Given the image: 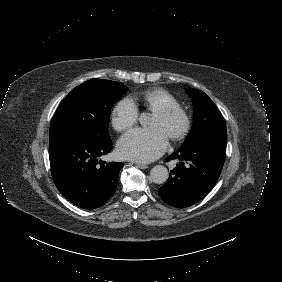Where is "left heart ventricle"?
<instances>
[{"label":"left heart ventricle","instance_id":"left-heart-ventricle-1","mask_svg":"<svg viewBox=\"0 0 282 282\" xmlns=\"http://www.w3.org/2000/svg\"><path fill=\"white\" fill-rule=\"evenodd\" d=\"M178 125V121L177 120H165L162 117L156 115L153 113L152 117H151V122H150V126L151 127H159L161 128L165 134H169L170 132H172L176 126Z\"/></svg>","mask_w":282,"mask_h":282}]
</instances>
